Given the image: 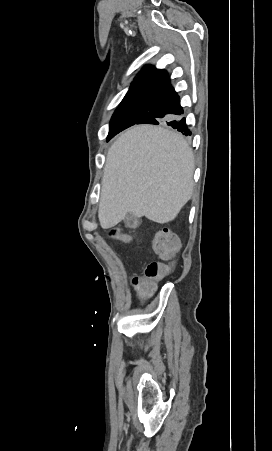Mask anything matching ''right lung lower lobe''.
<instances>
[{
    "label": "right lung lower lobe",
    "mask_w": 272,
    "mask_h": 451,
    "mask_svg": "<svg viewBox=\"0 0 272 451\" xmlns=\"http://www.w3.org/2000/svg\"><path fill=\"white\" fill-rule=\"evenodd\" d=\"M149 106V111L135 124L166 123L184 135L191 134L186 119L180 117L184 111L180 106L179 96L170 84L152 98Z\"/></svg>",
    "instance_id": "right-lung-lower-lobe-1"
}]
</instances>
